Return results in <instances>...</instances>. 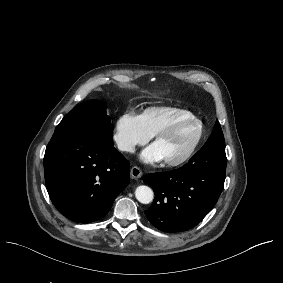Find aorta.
Wrapping results in <instances>:
<instances>
[{
    "label": "aorta",
    "mask_w": 283,
    "mask_h": 283,
    "mask_svg": "<svg viewBox=\"0 0 283 283\" xmlns=\"http://www.w3.org/2000/svg\"><path fill=\"white\" fill-rule=\"evenodd\" d=\"M135 197L140 203L149 204L154 199V193L150 187L141 185L136 188Z\"/></svg>",
    "instance_id": "1"
}]
</instances>
